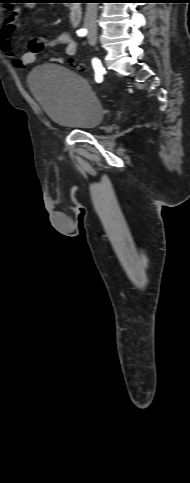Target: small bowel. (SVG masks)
<instances>
[{
  "instance_id": "obj_1",
  "label": "small bowel",
  "mask_w": 190,
  "mask_h": 483,
  "mask_svg": "<svg viewBox=\"0 0 190 483\" xmlns=\"http://www.w3.org/2000/svg\"><path fill=\"white\" fill-rule=\"evenodd\" d=\"M23 10L24 7L22 6L13 9L12 12L6 17L3 25L0 27V49L13 65L19 68H25L33 63L44 49L51 46H65V53L68 57H73L76 54L77 44L75 40L68 32H62L56 36L30 40L27 43V52L21 57L16 56L10 39L17 28L18 20ZM50 61L61 62L62 60L51 58Z\"/></svg>"
}]
</instances>
